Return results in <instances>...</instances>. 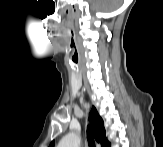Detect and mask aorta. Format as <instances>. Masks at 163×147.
<instances>
[{"mask_svg": "<svg viewBox=\"0 0 163 147\" xmlns=\"http://www.w3.org/2000/svg\"><path fill=\"white\" fill-rule=\"evenodd\" d=\"M80 138L77 134L70 132L62 138L59 147H79Z\"/></svg>", "mask_w": 163, "mask_h": 147, "instance_id": "1", "label": "aorta"}]
</instances>
